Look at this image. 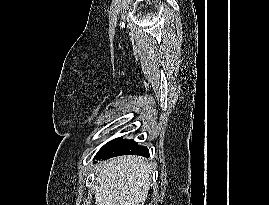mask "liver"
I'll return each mask as SVG.
<instances>
[{
	"label": "liver",
	"mask_w": 269,
	"mask_h": 205,
	"mask_svg": "<svg viewBox=\"0 0 269 205\" xmlns=\"http://www.w3.org/2000/svg\"><path fill=\"white\" fill-rule=\"evenodd\" d=\"M152 166L140 156H121L97 169L96 205H144Z\"/></svg>",
	"instance_id": "liver-1"
}]
</instances>
